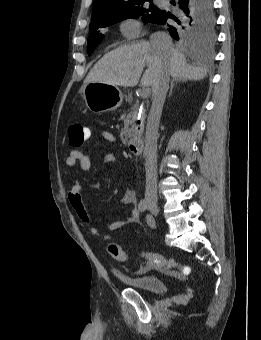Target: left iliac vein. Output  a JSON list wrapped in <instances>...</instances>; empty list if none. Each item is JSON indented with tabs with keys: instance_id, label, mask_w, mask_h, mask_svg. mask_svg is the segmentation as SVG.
<instances>
[{
	"instance_id": "4c4485c4",
	"label": "left iliac vein",
	"mask_w": 261,
	"mask_h": 340,
	"mask_svg": "<svg viewBox=\"0 0 261 340\" xmlns=\"http://www.w3.org/2000/svg\"><path fill=\"white\" fill-rule=\"evenodd\" d=\"M151 225H152V226H154V225H155V224H154V221H152Z\"/></svg>"
}]
</instances>
